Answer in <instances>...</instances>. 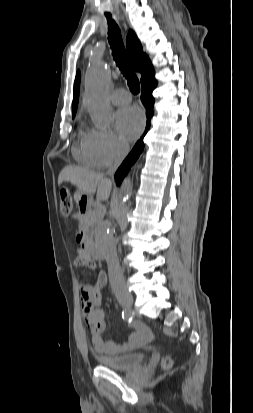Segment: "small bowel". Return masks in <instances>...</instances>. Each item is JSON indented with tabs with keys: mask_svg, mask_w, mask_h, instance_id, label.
<instances>
[{
	"mask_svg": "<svg viewBox=\"0 0 253 413\" xmlns=\"http://www.w3.org/2000/svg\"><path fill=\"white\" fill-rule=\"evenodd\" d=\"M73 219H80V215H74ZM74 266L88 267L94 271V284L82 285V315L94 351L98 355L113 356L119 353L139 348L153 339V333L148 326L140 321L134 322L135 332L124 343L114 341L104 342L101 333L105 330V312L100 307V289L107 282V275L104 270H96L94 261L79 251L74 258Z\"/></svg>",
	"mask_w": 253,
	"mask_h": 413,
	"instance_id": "small-bowel-1",
	"label": "small bowel"
}]
</instances>
